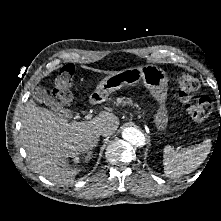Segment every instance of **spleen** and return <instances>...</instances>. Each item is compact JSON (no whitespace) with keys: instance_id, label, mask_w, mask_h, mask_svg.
<instances>
[{"instance_id":"spleen-1","label":"spleen","mask_w":221,"mask_h":221,"mask_svg":"<svg viewBox=\"0 0 221 221\" xmlns=\"http://www.w3.org/2000/svg\"><path fill=\"white\" fill-rule=\"evenodd\" d=\"M211 147L210 139L181 151H175L167 145L163 151L164 173L169 178H179L196 170L207 158Z\"/></svg>"}]
</instances>
